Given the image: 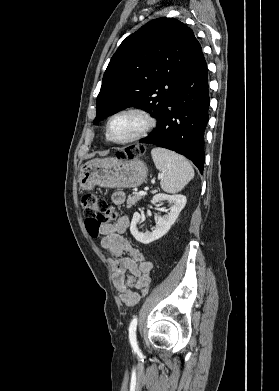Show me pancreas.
Segmentation results:
<instances>
[{"instance_id":"1","label":"pancreas","mask_w":279,"mask_h":391,"mask_svg":"<svg viewBox=\"0 0 279 391\" xmlns=\"http://www.w3.org/2000/svg\"><path fill=\"white\" fill-rule=\"evenodd\" d=\"M142 198L141 195H139L137 192H133V195L132 196H128V199H127V206L128 207H132L133 205H135L138 201H140Z\"/></svg>"}]
</instances>
